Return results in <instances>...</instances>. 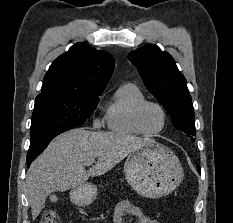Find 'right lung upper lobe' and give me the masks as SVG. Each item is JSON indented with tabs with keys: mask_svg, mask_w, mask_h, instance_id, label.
<instances>
[{
	"mask_svg": "<svg viewBox=\"0 0 233 223\" xmlns=\"http://www.w3.org/2000/svg\"><path fill=\"white\" fill-rule=\"evenodd\" d=\"M114 65V58L108 52L96 50L86 43H77L50 65L38 96L55 93L100 95Z\"/></svg>",
	"mask_w": 233,
	"mask_h": 223,
	"instance_id": "obj_1",
	"label": "right lung upper lobe"
}]
</instances>
